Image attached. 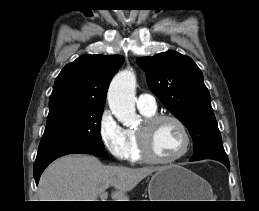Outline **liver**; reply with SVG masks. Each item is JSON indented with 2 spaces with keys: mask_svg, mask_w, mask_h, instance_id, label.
Listing matches in <instances>:
<instances>
[{
  "mask_svg": "<svg viewBox=\"0 0 259 211\" xmlns=\"http://www.w3.org/2000/svg\"><path fill=\"white\" fill-rule=\"evenodd\" d=\"M162 167L106 166L91 155H67L50 164L40 177L39 201H98L112 186L113 201H129L127 192Z\"/></svg>",
  "mask_w": 259,
  "mask_h": 211,
  "instance_id": "6515ba94",
  "label": "liver"
}]
</instances>
